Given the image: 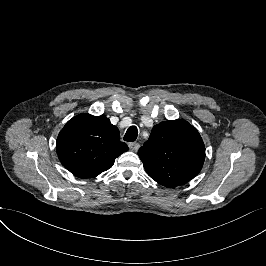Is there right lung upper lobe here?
<instances>
[{
  "instance_id": "1",
  "label": "right lung upper lobe",
  "mask_w": 266,
  "mask_h": 266,
  "mask_svg": "<svg viewBox=\"0 0 266 266\" xmlns=\"http://www.w3.org/2000/svg\"><path fill=\"white\" fill-rule=\"evenodd\" d=\"M56 148L63 166L80 178L98 176L128 150L118 128L105 115L89 114H79L66 123Z\"/></svg>"
}]
</instances>
